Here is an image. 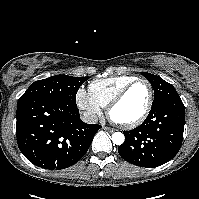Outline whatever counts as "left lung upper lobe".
I'll list each match as a JSON object with an SVG mask.
<instances>
[{
  "instance_id": "left-lung-upper-lobe-1",
  "label": "left lung upper lobe",
  "mask_w": 199,
  "mask_h": 199,
  "mask_svg": "<svg viewBox=\"0 0 199 199\" xmlns=\"http://www.w3.org/2000/svg\"><path fill=\"white\" fill-rule=\"evenodd\" d=\"M141 74L149 80L154 89V100L152 106L158 105L168 99L179 97L173 85L166 82L159 76L147 72H141Z\"/></svg>"
}]
</instances>
